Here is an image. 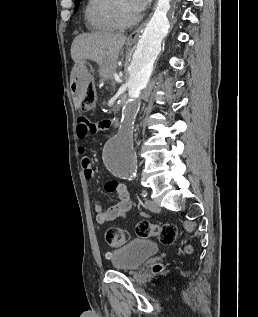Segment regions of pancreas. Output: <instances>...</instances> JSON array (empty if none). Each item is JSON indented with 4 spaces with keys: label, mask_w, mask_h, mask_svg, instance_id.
<instances>
[{
    "label": "pancreas",
    "mask_w": 258,
    "mask_h": 317,
    "mask_svg": "<svg viewBox=\"0 0 258 317\" xmlns=\"http://www.w3.org/2000/svg\"><path fill=\"white\" fill-rule=\"evenodd\" d=\"M107 82L109 83V84H111V92H116V90L118 89V84L117 83H115L116 82V79L114 78V77H109L108 79H107Z\"/></svg>",
    "instance_id": "pancreas-1"
}]
</instances>
